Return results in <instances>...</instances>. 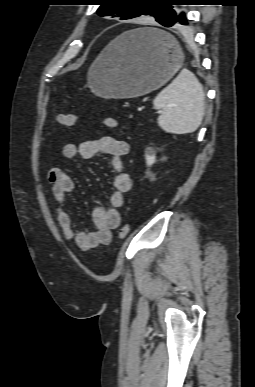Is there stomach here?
Segmentation results:
<instances>
[{
	"label": "stomach",
	"instance_id": "1",
	"mask_svg": "<svg viewBox=\"0 0 255 387\" xmlns=\"http://www.w3.org/2000/svg\"><path fill=\"white\" fill-rule=\"evenodd\" d=\"M146 32L158 37L145 39ZM183 60L180 46L168 33L155 28L131 30L101 52L88 71V84L104 98L142 96L171 79Z\"/></svg>",
	"mask_w": 255,
	"mask_h": 387
}]
</instances>
